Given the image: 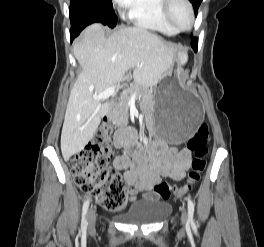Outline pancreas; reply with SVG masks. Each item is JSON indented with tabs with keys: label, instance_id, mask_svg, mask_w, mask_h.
I'll use <instances>...</instances> for the list:
<instances>
[{
	"label": "pancreas",
	"instance_id": "1",
	"mask_svg": "<svg viewBox=\"0 0 264 247\" xmlns=\"http://www.w3.org/2000/svg\"><path fill=\"white\" fill-rule=\"evenodd\" d=\"M137 92L138 95H144L145 91L144 88L140 84H134L132 87L128 88L124 93L122 94L119 102L116 104L111 119L116 124L125 125L128 121V104L131 95L134 92Z\"/></svg>",
	"mask_w": 264,
	"mask_h": 247
}]
</instances>
